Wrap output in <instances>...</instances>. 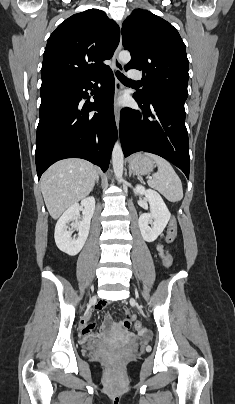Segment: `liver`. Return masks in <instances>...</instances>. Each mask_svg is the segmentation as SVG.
Instances as JSON below:
<instances>
[{"instance_id": "1", "label": "liver", "mask_w": 235, "mask_h": 404, "mask_svg": "<svg viewBox=\"0 0 235 404\" xmlns=\"http://www.w3.org/2000/svg\"><path fill=\"white\" fill-rule=\"evenodd\" d=\"M98 169L90 162L69 158L53 164L41 178V192L51 217L58 219L92 191Z\"/></svg>"}]
</instances>
